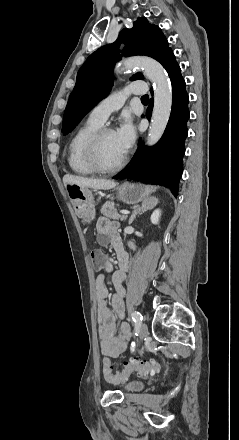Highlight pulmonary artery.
I'll return each mask as SVG.
<instances>
[{"mask_svg":"<svg viewBox=\"0 0 239 440\" xmlns=\"http://www.w3.org/2000/svg\"><path fill=\"white\" fill-rule=\"evenodd\" d=\"M145 87L140 85V82H134L127 86L122 94H112L103 100H101L90 112L89 118L98 124H103L109 114L113 111L120 109L125 97L129 94H142L145 91Z\"/></svg>","mask_w":239,"mask_h":440,"instance_id":"obj_1","label":"pulmonary artery"}]
</instances>
